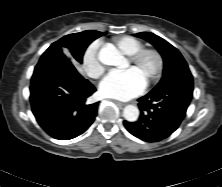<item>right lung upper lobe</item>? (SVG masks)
I'll use <instances>...</instances> for the list:
<instances>
[{"label":"right lung upper lobe","instance_id":"obj_1","mask_svg":"<svg viewBox=\"0 0 222 187\" xmlns=\"http://www.w3.org/2000/svg\"><path fill=\"white\" fill-rule=\"evenodd\" d=\"M90 32H93V33H101V32H98V31H93V30H89Z\"/></svg>","mask_w":222,"mask_h":187}]
</instances>
